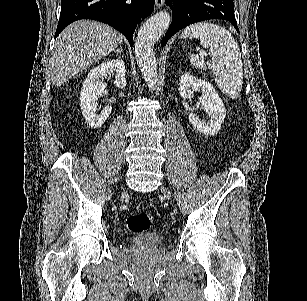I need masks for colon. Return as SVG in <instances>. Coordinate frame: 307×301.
<instances>
[{"instance_id":"5ec220e1","label":"colon","mask_w":307,"mask_h":301,"mask_svg":"<svg viewBox=\"0 0 307 301\" xmlns=\"http://www.w3.org/2000/svg\"><path fill=\"white\" fill-rule=\"evenodd\" d=\"M153 217L150 213H136L127 217L126 227L133 233H141L150 228Z\"/></svg>"}]
</instances>
